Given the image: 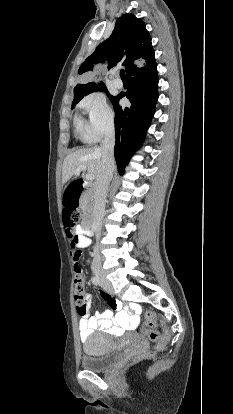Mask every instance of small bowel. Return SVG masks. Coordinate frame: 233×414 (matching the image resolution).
<instances>
[{"instance_id":"obj_1","label":"small bowel","mask_w":233,"mask_h":414,"mask_svg":"<svg viewBox=\"0 0 233 414\" xmlns=\"http://www.w3.org/2000/svg\"><path fill=\"white\" fill-rule=\"evenodd\" d=\"M76 243L79 248H87L91 241L90 239L82 234L80 231L76 232ZM72 257L73 262V273L76 276H80L82 273V267L80 266L78 254ZM103 298L106 300L111 309L105 310L99 316L90 317L89 311L92 302V296L90 294L86 295L87 301L83 305H77L76 311L82 312L79 316V330L80 338L84 342L91 335V333L96 329H101L105 332L112 334H121L125 330L135 329L139 323L138 313L140 311V306L136 301H128L127 304H123L127 307L123 308L120 301L111 297L107 293H102ZM116 310L117 313L114 316L113 310Z\"/></svg>"}]
</instances>
